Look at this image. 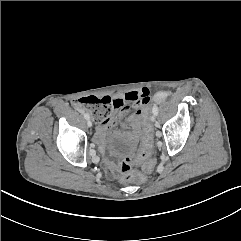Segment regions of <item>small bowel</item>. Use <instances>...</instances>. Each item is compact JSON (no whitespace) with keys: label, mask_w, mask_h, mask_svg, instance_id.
I'll return each instance as SVG.
<instances>
[{"label":"small bowel","mask_w":241,"mask_h":241,"mask_svg":"<svg viewBox=\"0 0 241 241\" xmlns=\"http://www.w3.org/2000/svg\"><path fill=\"white\" fill-rule=\"evenodd\" d=\"M151 89L148 86H139L137 90L129 91L126 93L114 94L110 100L114 103L115 109L119 110V115L123 125H125L130 132L138 133L142 136L143 125L142 119L144 118V108L149 106L152 102ZM161 97L156 96L159 101ZM114 124L113 118L100 123L96 128L94 139L98 144L102 153L105 149V136L106 129ZM95 162L98 158L94 159ZM104 167L107 175L110 178L115 177V167L108 161L104 162Z\"/></svg>","instance_id":"1"}]
</instances>
